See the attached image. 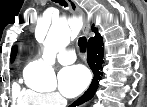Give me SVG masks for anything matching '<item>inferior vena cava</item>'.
I'll list each match as a JSON object with an SVG mask.
<instances>
[{"mask_svg":"<svg viewBox=\"0 0 147 107\" xmlns=\"http://www.w3.org/2000/svg\"><path fill=\"white\" fill-rule=\"evenodd\" d=\"M66 105H67V101L64 98H62L60 100V103H59L58 107H66Z\"/></svg>","mask_w":147,"mask_h":107,"instance_id":"inferior-vena-cava-1","label":"inferior vena cava"}]
</instances>
